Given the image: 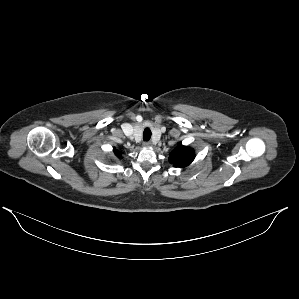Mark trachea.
<instances>
[{"label": "trachea", "instance_id": "obj_1", "mask_svg": "<svg viewBox=\"0 0 299 299\" xmlns=\"http://www.w3.org/2000/svg\"><path fill=\"white\" fill-rule=\"evenodd\" d=\"M151 138V130L149 128H145L143 132L144 141H149Z\"/></svg>", "mask_w": 299, "mask_h": 299}]
</instances>
